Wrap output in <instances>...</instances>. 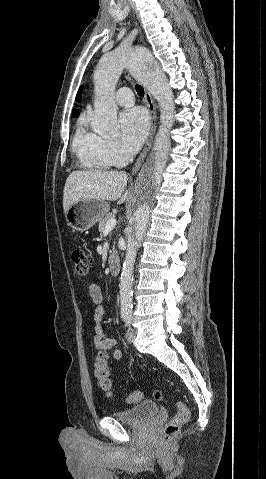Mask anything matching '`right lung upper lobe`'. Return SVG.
I'll return each instance as SVG.
<instances>
[{
  "label": "right lung upper lobe",
  "instance_id": "cb5924a9",
  "mask_svg": "<svg viewBox=\"0 0 266 479\" xmlns=\"http://www.w3.org/2000/svg\"><path fill=\"white\" fill-rule=\"evenodd\" d=\"M81 93H82V87H80V90L77 93L76 101H79ZM77 116H78V111L76 109H74L73 110V117H77Z\"/></svg>",
  "mask_w": 266,
  "mask_h": 479
}]
</instances>
